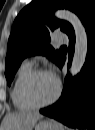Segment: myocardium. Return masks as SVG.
I'll return each instance as SVG.
<instances>
[{
	"mask_svg": "<svg viewBox=\"0 0 95 130\" xmlns=\"http://www.w3.org/2000/svg\"><path fill=\"white\" fill-rule=\"evenodd\" d=\"M42 73H47L54 77V79L56 81V85H57V90H56L55 95L51 99H49L48 101L39 103V102H36L35 100H33V98L31 97L30 86H31L33 79L37 75L42 74ZM60 94H61L60 80L56 76H54L52 73H50L48 70L42 69V68L32 69L31 72L27 75L26 79L24 80V83L22 86L23 98L26 101V103L29 104L33 108H43V107L53 104L59 98Z\"/></svg>",
	"mask_w": 95,
	"mask_h": 130,
	"instance_id": "f54148a6",
	"label": "myocardium"
}]
</instances>
